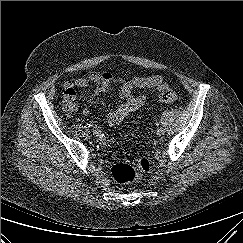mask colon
I'll return each mask as SVG.
<instances>
[{"mask_svg": "<svg viewBox=\"0 0 243 243\" xmlns=\"http://www.w3.org/2000/svg\"><path fill=\"white\" fill-rule=\"evenodd\" d=\"M180 97L177 93L170 89H164L159 95V101L163 103H174L179 101ZM66 112H71V106L66 101L65 105ZM151 163L149 159H140L135 166L120 162L112 166L110 174L112 179L119 184L133 183L141 179V177L150 172Z\"/></svg>", "mask_w": 243, "mask_h": 243, "instance_id": "1", "label": "colon"}]
</instances>
